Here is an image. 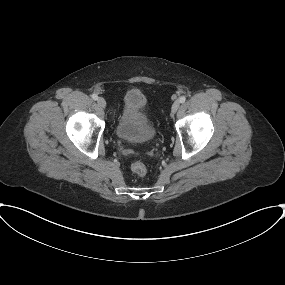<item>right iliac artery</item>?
<instances>
[{
  "label": "right iliac artery",
  "mask_w": 285,
  "mask_h": 285,
  "mask_svg": "<svg viewBox=\"0 0 285 285\" xmlns=\"http://www.w3.org/2000/svg\"><path fill=\"white\" fill-rule=\"evenodd\" d=\"M92 98H93L94 100H97V99H98L97 94H92Z\"/></svg>",
  "instance_id": "obj_1"
}]
</instances>
